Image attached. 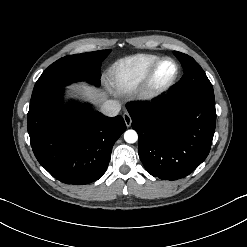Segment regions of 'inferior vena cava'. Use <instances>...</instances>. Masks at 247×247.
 Returning a JSON list of instances; mask_svg holds the SVG:
<instances>
[{"mask_svg": "<svg viewBox=\"0 0 247 247\" xmlns=\"http://www.w3.org/2000/svg\"><path fill=\"white\" fill-rule=\"evenodd\" d=\"M120 109H121V104L115 100H107L101 106L102 114L108 117L117 116Z\"/></svg>", "mask_w": 247, "mask_h": 247, "instance_id": "1", "label": "inferior vena cava"}]
</instances>
